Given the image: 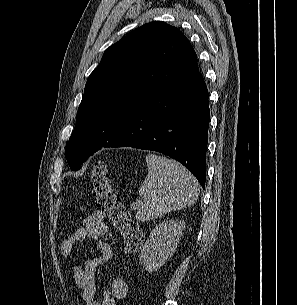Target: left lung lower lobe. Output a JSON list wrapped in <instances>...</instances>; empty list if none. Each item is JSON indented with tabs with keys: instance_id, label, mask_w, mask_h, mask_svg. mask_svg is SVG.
<instances>
[{
	"instance_id": "obj_1",
	"label": "left lung lower lobe",
	"mask_w": 297,
	"mask_h": 305,
	"mask_svg": "<svg viewBox=\"0 0 297 305\" xmlns=\"http://www.w3.org/2000/svg\"><path fill=\"white\" fill-rule=\"evenodd\" d=\"M208 90L199 71L153 86L131 108L102 147H133L166 154L206 180Z\"/></svg>"
}]
</instances>
